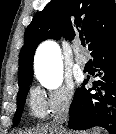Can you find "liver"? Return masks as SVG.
<instances>
[{"instance_id": "6515ba94", "label": "liver", "mask_w": 116, "mask_h": 134, "mask_svg": "<svg viewBox=\"0 0 116 134\" xmlns=\"http://www.w3.org/2000/svg\"><path fill=\"white\" fill-rule=\"evenodd\" d=\"M98 133H100V130H98ZM23 134H60L53 126H45L42 128H37L36 130L28 131V133ZM63 134H68L66 131H64ZM70 134V133H69Z\"/></svg>"}]
</instances>
